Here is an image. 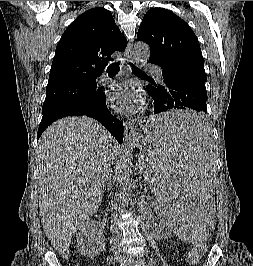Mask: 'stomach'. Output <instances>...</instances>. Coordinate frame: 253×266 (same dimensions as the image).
Here are the masks:
<instances>
[{
  "label": "stomach",
  "instance_id": "stomach-1",
  "mask_svg": "<svg viewBox=\"0 0 253 266\" xmlns=\"http://www.w3.org/2000/svg\"><path fill=\"white\" fill-rule=\"evenodd\" d=\"M153 138H157V136H154V132H149V129L146 128L144 134L141 135L138 141H136V146L146 155L147 150H149V145H153Z\"/></svg>",
  "mask_w": 253,
  "mask_h": 266
}]
</instances>
